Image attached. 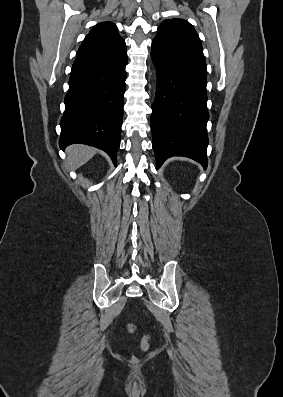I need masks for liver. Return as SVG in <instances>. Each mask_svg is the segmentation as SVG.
Masks as SVG:
<instances>
[{
	"label": "liver",
	"instance_id": "obj_1",
	"mask_svg": "<svg viewBox=\"0 0 283 397\" xmlns=\"http://www.w3.org/2000/svg\"><path fill=\"white\" fill-rule=\"evenodd\" d=\"M66 153V164L68 169L76 170L88 162L96 154V149L83 144H74L66 149Z\"/></svg>",
	"mask_w": 283,
	"mask_h": 397
}]
</instances>
